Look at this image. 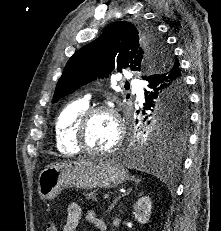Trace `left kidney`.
I'll use <instances>...</instances> for the list:
<instances>
[{
    "label": "left kidney",
    "instance_id": "obj_1",
    "mask_svg": "<svg viewBox=\"0 0 221 231\" xmlns=\"http://www.w3.org/2000/svg\"><path fill=\"white\" fill-rule=\"evenodd\" d=\"M152 210V202L148 196L141 197L134 205V218L141 224L149 221Z\"/></svg>",
    "mask_w": 221,
    "mask_h": 231
}]
</instances>
